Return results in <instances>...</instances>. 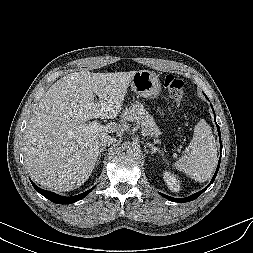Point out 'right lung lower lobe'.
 <instances>
[{"label": "right lung lower lobe", "mask_w": 253, "mask_h": 253, "mask_svg": "<svg viewBox=\"0 0 253 253\" xmlns=\"http://www.w3.org/2000/svg\"><path fill=\"white\" fill-rule=\"evenodd\" d=\"M33 187L35 188V190L37 192H39L41 195H43L44 197H46L47 199H49L50 201L54 202V203H57V204H70V203H74L82 198H84L92 189L84 192V193H81V194H78V195H75V196H71V197H64V196H60L58 194H55L53 192H49V191H46V190H43L41 188H39L38 186H36L32 181H31Z\"/></svg>", "instance_id": "right-lung-lower-lobe-1"}]
</instances>
